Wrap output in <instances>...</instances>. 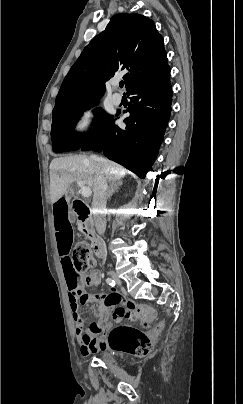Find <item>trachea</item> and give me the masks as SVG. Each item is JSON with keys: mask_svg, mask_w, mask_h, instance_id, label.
Instances as JSON below:
<instances>
[{"mask_svg": "<svg viewBox=\"0 0 243 404\" xmlns=\"http://www.w3.org/2000/svg\"><path fill=\"white\" fill-rule=\"evenodd\" d=\"M123 85H124V82H120L119 83V86L122 88L123 87Z\"/></svg>", "mask_w": 243, "mask_h": 404, "instance_id": "obj_1", "label": "trachea"}]
</instances>
